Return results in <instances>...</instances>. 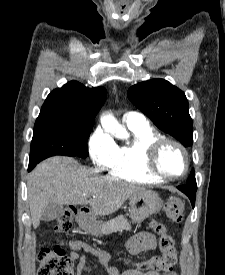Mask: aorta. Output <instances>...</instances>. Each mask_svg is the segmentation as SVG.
I'll list each match as a JSON object with an SVG mask.
<instances>
[{
	"label": "aorta",
	"mask_w": 225,
	"mask_h": 275,
	"mask_svg": "<svg viewBox=\"0 0 225 275\" xmlns=\"http://www.w3.org/2000/svg\"><path fill=\"white\" fill-rule=\"evenodd\" d=\"M101 125L106 132L116 138L126 139L129 136L125 127H123L111 114H106L101 117Z\"/></svg>",
	"instance_id": "762f6f07"
}]
</instances>
